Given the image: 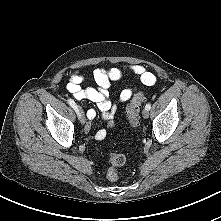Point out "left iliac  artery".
Instances as JSON below:
<instances>
[{"mask_svg":"<svg viewBox=\"0 0 221 221\" xmlns=\"http://www.w3.org/2000/svg\"><path fill=\"white\" fill-rule=\"evenodd\" d=\"M145 109L150 110L151 109V104L150 103L146 104Z\"/></svg>","mask_w":221,"mask_h":221,"instance_id":"obj_1","label":"left iliac artery"}]
</instances>
